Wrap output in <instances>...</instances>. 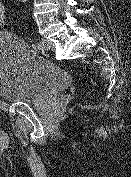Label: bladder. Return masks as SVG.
<instances>
[{"label":"bladder","instance_id":"bladder-1","mask_svg":"<svg viewBox=\"0 0 131 177\" xmlns=\"http://www.w3.org/2000/svg\"><path fill=\"white\" fill-rule=\"evenodd\" d=\"M71 84L61 67L39 57L13 36L0 35V98L46 106Z\"/></svg>","mask_w":131,"mask_h":177}]
</instances>
